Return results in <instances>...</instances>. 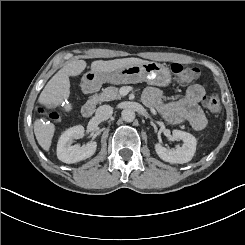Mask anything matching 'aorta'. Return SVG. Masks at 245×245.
Segmentation results:
<instances>
[{
  "mask_svg": "<svg viewBox=\"0 0 245 245\" xmlns=\"http://www.w3.org/2000/svg\"><path fill=\"white\" fill-rule=\"evenodd\" d=\"M121 116L125 122H132L135 119V112L132 109H124Z\"/></svg>",
  "mask_w": 245,
  "mask_h": 245,
  "instance_id": "1",
  "label": "aorta"
}]
</instances>
